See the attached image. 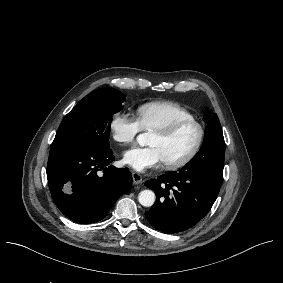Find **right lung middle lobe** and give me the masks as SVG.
<instances>
[{"instance_id":"right-lung-middle-lobe-1","label":"right lung middle lobe","mask_w":283,"mask_h":283,"mask_svg":"<svg viewBox=\"0 0 283 283\" xmlns=\"http://www.w3.org/2000/svg\"><path fill=\"white\" fill-rule=\"evenodd\" d=\"M124 95L113 88L97 89L82 100L61 122L51 149L87 147L109 151L113 114L122 109Z\"/></svg>"}]
</instances>
